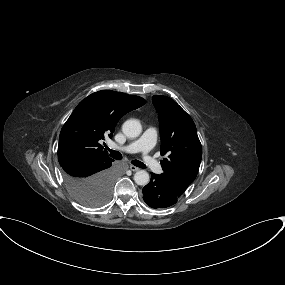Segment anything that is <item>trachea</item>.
<instances>
[{
	"mask_svg": "<svg viewBox=\"0 0 285 285\" xmlns=\"http://www.w3.org/2000/svg\"><path fill=\"white\" fill-rule=\"evenodd\" d=\"M107 150L110 151V156L116 160H121L122 159V155L120 152L115 151V150H111L108 147H106ZM131 163L137 167L140 168H146V166L139 160H132Z\"/></svg>",
	"mask_w": 285,
	"mask_h": 285,
	"instance_id": "3493384b",
	"label": "trachea"
}]
</instances>
